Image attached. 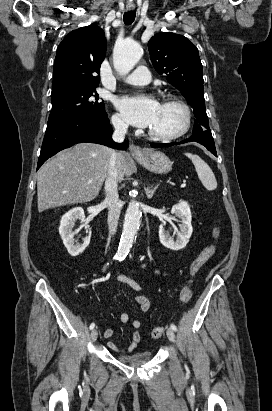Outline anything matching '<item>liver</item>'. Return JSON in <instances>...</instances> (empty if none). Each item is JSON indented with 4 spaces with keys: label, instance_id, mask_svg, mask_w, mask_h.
Masks as SVG:
<instances>
[{
    "label": "liver",
    "instance_id": "1",
    "mask_svg": "<svg viewBox=\"0 0 272 411\" xmlns=\"http://www.w3.org/2000/svg\"><path fill=\"white\" fill-rule=\"evenodd\" d=\"M111 149L80 143L47 161L37 176L38 211L89 202L97 197L107 174ZM126 155L117 158L118 180L123 181Z\"/></svg>",
    "mask_w": 272,
    "mask_h": 411
}]
</instances>
